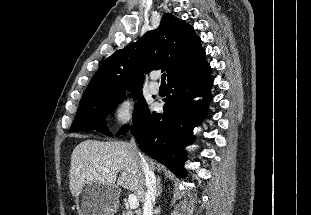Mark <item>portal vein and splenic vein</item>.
Instances as JSON below:
<instances>
[{"instance_id": "1", "label": "portal vein and splenic vein", "mask_w": 311, "mask_h": 215, "mask_svg": "<svg viewBox=\"0 0 311 215\" xmlns=\"http://www.w3.org/2000/svg\"><path fill=\"white\" fill-rule=\"evenodd\" d=\"M106 172H108L109 170H105ZM128 204L130 209H136L139 206V202L137 197L134 194L129 195L128 197Z\"/></svg>"}]
</instances>
